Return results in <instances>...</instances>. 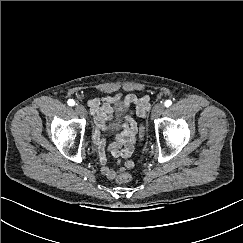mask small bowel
<instances>
[{"label":"small bowel","instance_id":"1","mask_svg":"<svg viewBox=\"0 0 243 243\" xmlns=\"http://www.w3.org/2000/svg\"><path fill=\"white\" fill-rule=\"evenodd\" d=\"M122 102L123 110L120 114H115L113 105ZM130 105L135 106V113L138 117H145L150 109V99L148 96L139 97L135 94L97 97L88 101L90 113L94 118L95 132L93 141L97 149L99 162L101 164V173L108 179H117L122 169H113L107 166L108 157L105 148V139L100 134L101 130L112 128V125L118 117L123 119L121 124L122 131L116 135L115 142L109 147V154L118 159L130 157L136 147L137 135L139 129L133 119V112L129 109ZM111 121V122H109Z\"/></svg>","mask_w":243,"mask_h":243}]
</instances>
